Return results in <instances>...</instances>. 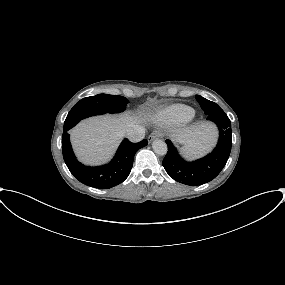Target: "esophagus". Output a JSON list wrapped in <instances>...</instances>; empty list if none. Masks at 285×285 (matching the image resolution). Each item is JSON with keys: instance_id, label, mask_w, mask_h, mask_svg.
<instances>
[{"instance_id": "obj_1", "label": "esophagus", "mask_w": 285, "mask_h": 285, "mask_svg": "<svg viewBox=\"0 0 285 285\" xmlns=\"http://www.w3.org/2000/svg\"><path fill=\"white\" fill-rule=\"evenodd\" d=\"M157 137H160V134L157 132H153L149 135L148 137V142L151 143L154 139H156Z\"/></svg>"}]
</instances>
